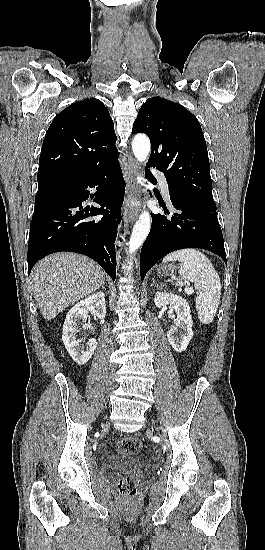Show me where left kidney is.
<instances>
[{
  "instance_id": "1",
  "label": "left kidney",
  "mask_w": 265,
  "mask_h": 550,
  "mask_svg": "<svg viewBox=\"0 0 265 550\" xmlns=\"http://www.w3.org/2000/svg\"><path fill=\"white\" fill-rule=\"evenodd\" d=\"M154 302L158 308L170 305L175 309L177 318L175 325L167 332V338L175 351H185L193 336L189 303L178 295L163 292L155 293Z\"/></svg>"
}]
</instances>
